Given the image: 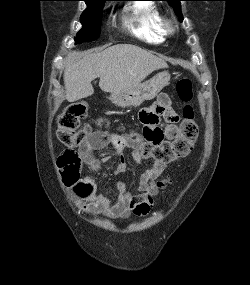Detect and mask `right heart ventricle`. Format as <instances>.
Wrapping results in <instances>:
<instances>
[{"instance_id": "1", "label": "right heart ventricle", "mask_w": 250, "mask_h": 285, "mask_svg": "<svg viewBox=\"0 0 250 285\" xmlns=\"http://www.w3.org/2000/svg\"><path fill=\"white\" fill-rule=\"evenodd\" d=\"M125 12V26L133 36L149 44L164 41L165 34L161 27L163 17L155 4L148 1L134 2Z\"/></svg>"}]
</instances>
